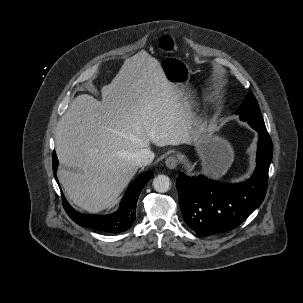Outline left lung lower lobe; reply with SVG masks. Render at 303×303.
Returning <instances> with one entry per match:
<instances>
[{
    "label": "left lung lower lobe",
    "instance_id": "0a47b994",
    "mask_svg": "<svg viewBox=\"0 0 303 303\" xmlns=\"http://www.w3.org/2000/svg\"><path fill=\"white\" fill-rule=\"evenodd\" d=\"M249 124L259 135L257 166L251 178L229 185L202 175L189 177L179 173L176 181L179 206L186 224L200 236L235 229L265 197L272 141L266 128Z\"/></svg>",
    "mask_w": 303,
    "mask_h": 303
}]
</instances>
